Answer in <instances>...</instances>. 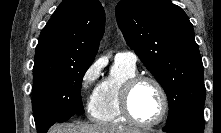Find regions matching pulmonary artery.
Masks as SVG:
<instances>
[{
    "mask_svg": "<svg viewBox=\"0 0 221 133\" xmlns=\"http://www.w3.org/2000/svg\"><path fill=\"white\" fill-rule=\"evenodd\" d=\"M115 61L127 64L135 67L137 62V56L132 52H119L115 56Z\"/></svg>",
    "mask_w": 221,
    "mask_h": 133,
    "instance_id": "e3ab8cb5",
    "label": "pulmonary artery"
}]
</instances>
